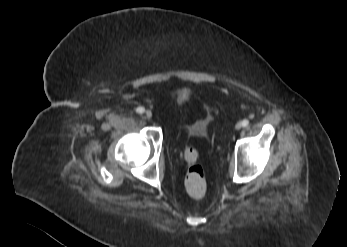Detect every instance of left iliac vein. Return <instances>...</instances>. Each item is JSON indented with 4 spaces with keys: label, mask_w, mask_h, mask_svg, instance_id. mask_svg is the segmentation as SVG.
I'll use <instances>...</instances> for the list:
<instances>
[{
    "label": "left iliac vein",
    "mask_w": 347,
    "mask_h": 247,
    "mask_svg": "<svg viewBox=\"0 0 347 247\" xmlns=\"http://www.w3.org/2000/svg\"><path fill=\"white\" fill-rule=\"evenodd\" d=\"M241 127H242V124H241V123H237V124L235 125V129H236V130L241 129Z\"/></svg>",
    "instance_id": "obj_1"
}]
</instances>
